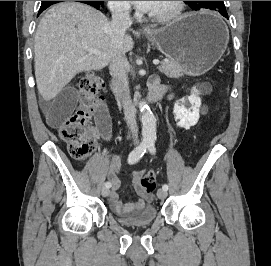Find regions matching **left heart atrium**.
Returning a JSON list of instances; mask_svg holds the SVG:
<instances>
[{
    "instance_id": "39dd6f15",
    "label": "left heart atrium",
    "mask_w": 271,
    "mask_h": 266,
    "mask_svg": "<svg viewBox=\"0 0 271 266\" xmlns=\"http://www.w3.org/2000/svg\"><path fill=\"white\" fill-rule=\"evenodd\" d=\"M133 4L143 11H150L156 1H132Z\"/></svg>"
}]
</instances>
